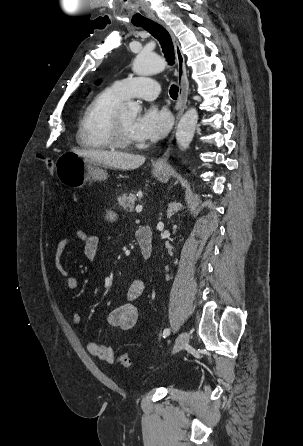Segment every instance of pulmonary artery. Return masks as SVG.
Masks as SVG:
<instances>
[{
	"label": "pulmonary artery",
	"mask_w": 303,
	"mask_h": 446,
	"mask_svg": "<svg viewBox=\"0 0 303 446\" xmlns=\"http://www.w3.org/2000/svg\"><path fill=\"white\" fill-rule=\"evenodd\" d=\"M115 90L125 99L137 97L155 100L160 93L159 83L149 77H128L113 83Z\"/></svg>",
	"instance_id": "e3ab8cb5"
}]
</instances>
